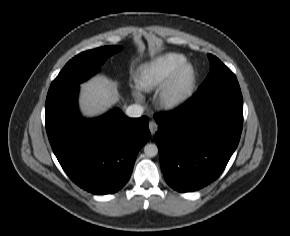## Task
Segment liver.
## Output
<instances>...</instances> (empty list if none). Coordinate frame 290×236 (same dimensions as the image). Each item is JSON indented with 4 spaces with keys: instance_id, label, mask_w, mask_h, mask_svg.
Masks as SVG:
<instances>
[{
    "instance_id": "obj_1",
    "label": "liver",
    "mask_w": 290,
    "mask_h": 236,
    "mask_svg": "<svg viewBox=\"0 0 290 236\" xmlns=\"http://www.w3.org/2000/svg\"><path fill=\"white\" fill-rule=\"evenodd\" d=\"M117 83L97 75L81 84L80 111L85 116H98L119 101Z\"/></svg>"
}]
</instances>
